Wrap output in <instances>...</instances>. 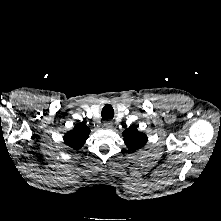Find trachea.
<instances>
[{"instance_id":"1","label":"trachea","mask_w":221,"mask_h":221,"mask_svg":"<svg viewBox=\"0 0 221 221\" xmlns=\"http://www.w3.org/2000/svg\"><path fill=\"white\" fill-rule=\"evenodd\" d=\"M114 116V111L112 109L107 110V106L104 107L103 111H102V117L105 118H109L112 119Z\"/></svg>"}]
</instances>
